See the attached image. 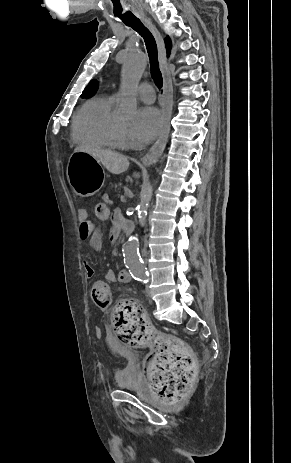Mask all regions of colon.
Returning <instances> with one entry per match:
<instances>
[{
	"mask_svg": "<svg viewBox=\"0 0 291 463\" xmlns=\"http://www.w3.org/2000/svg\"><path fill=\"white\" fill-rule=\"evenodd\" d=\"M111 217V205H93V218L98 219L99 224H106ZM91 298L96 306L108 308L112 302L110 286L104 281L95 282ZM111 322L114 333L123 343L156 346L146 362L145 374L160 401L174 403L188 395L196 376V361L182 341L154 334L141 306L131 301H120L114 306Z\"/></svg>",
	"mask_w": 291,
	"mask_h": 463,
	"instance_id": "1",
	"label": "colon"
}]
</instances>
